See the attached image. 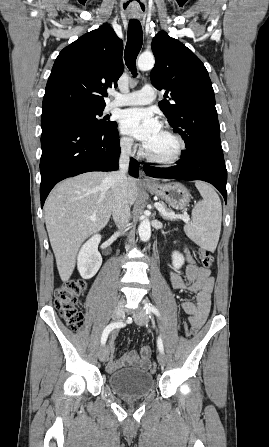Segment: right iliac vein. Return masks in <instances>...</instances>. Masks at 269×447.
<instances>
[{"label": "right iliac vein", "mask_w": 269, "mask_h": 447, "mask_svg": "<svg viewBox=\"0 0 269 447\" xmlns=\"http://www.w3.org/2000/svg\"><path fill=\"white\" fill-rule=\"evenodd\" d=\"M125 317L124 312V300L120 299L119 304L115 307L113 311L112 318L114 321L119 322L122 321ZM109 355V347L108 345H103L98 353V358L100 361L105 362Z\"/></svg>", "instance_id": "obj_1"}]
</instances>
